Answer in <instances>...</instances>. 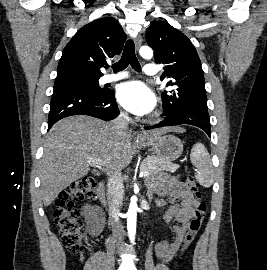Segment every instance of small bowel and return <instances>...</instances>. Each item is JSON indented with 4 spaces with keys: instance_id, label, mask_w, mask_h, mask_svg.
I'll use <instances>...</instances> for the list:
<instances>
[{
    "instance_id": "small-bowel-1",
    "label": "small bowel",
    "mask_w": 267,
    "mask_h": 270,
    "mask_svg": "<svg viewBox=\"0 0 267 270\" xmlns=\"http://www.w3.org/2000/svg\"><path fill=\"white\" fill-rule=\"evenodd\" d=\"M148 196H155L159 207H166L163 222L169 227L170 235L165 236L155 246V255L169 262L179 251L191 220L197 200L183 182L169 175L154 176L148 180ZM87 229L92 237L101 235L105 228L103 213L91 205L82 210Z\"/></svg>"
}]
</instances>
